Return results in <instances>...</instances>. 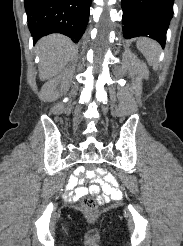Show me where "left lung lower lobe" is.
Instances as JSON below:
<instances>
[{
	"mask_svg": "<svg viewBox=\"0 0 183 246\" xmlns=\"http://www.w3.org/2000/svg\"><path fill=\"white\" fill-rule=\"evenodd\" d=\"M174 0H121L125 38L148 36L165 45Z\"/></svg>",
	"mask_w": 183,
	"mask_h": 246,
	"instance_id": "left-lung-lower-lobe-1",
	"label": "left lung lower lobe"
}]
</instances>
